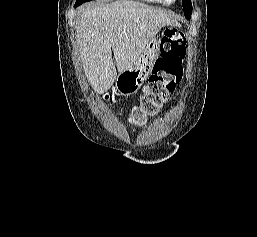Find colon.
Instances as JSON below:
<instances>
[{"label": "colon", "mask_w": 257, "mask_h": 237, "mask_svg": "<svg viewBox=\"0 0 257 237\" xmlns=\"http://www.w3.org/2000/svg\"><path fill=\"white\" fill-rule=\"evenodd\" d=\"M159 49L160 54L144 88V95L129 116L130 122L137 126L143 125L148 116L159 110L182 75V61L186 53L183 33L174 28H167L161 38Z\"/></svg>", "instance_id": "obj_1"}]
</instances>
